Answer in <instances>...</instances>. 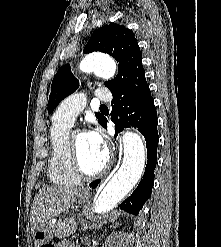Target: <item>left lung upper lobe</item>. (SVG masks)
<instances>
[{
	"label": "left lung upper lobe",
	"mask_w": 221,
	"mask_h": 247,
	"mask_svg": "<svg viewBox=\"0 0 221 247\" xmlns=\"http://www.w3.org/2000/svg\"><path fill=\"white\" fill-rule=\"evenodd\" d=\"M93 51L107 53L119 62L117 76L105 82V86L114 97L126 99L149 90L142 66L141 51L130 29L114 23L99 28L84 48V53ZM78 86V80L71 73L70 65L62 66L52 81L48 113H52L65 97L76 91ZM95 115L102 124L105 117L101 113Z\"/></svg>",
	"instance_id": "left-lung-upper-lobe-1"
}]
</instances>
